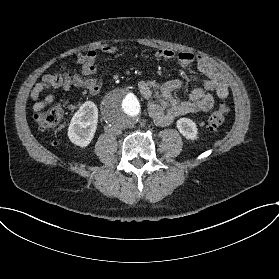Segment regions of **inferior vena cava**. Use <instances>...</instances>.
I'll use <instances>...</instances> for the list:
<instances>
[{"mask_svg":"<svg viewBox=\"0 0 279 279\" xmlns=\"http://www.w3.org/2000/svg\"><path fill=\"white\" fill-rule=\"evenodd\" d=\"M109 132L112 133L113 135H120V134H122V130L116 129V128H110Z\"/></svg>","mask_w":279,"mask_h":279,"instance_id":"1","label":"inferior vena cava"}]
</instances>
